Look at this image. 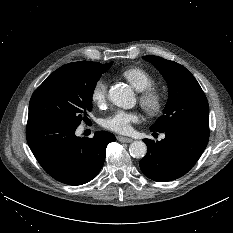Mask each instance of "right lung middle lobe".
Returning a JSON list of instances; mask_svg holds the SVG:
<instances>
[{
  "instance_id": "right-lung-middle-lobe-1",
  "label": "right lung middle lobe",
  "mask_w": 233,
  "mask_h": 233,
  "mask_svg": "<svg viewBox=\"0 0 233 233\" xmlns=\"http://www.w3.org/2000/svg\"><path fill=\"white\" fill-rule=\"evenodd\" d=\"M112 64L80 61L58 68L33 93L28 119L79 126L82 120H88L97 81Z\"/></svg>"
}]
</instances>
